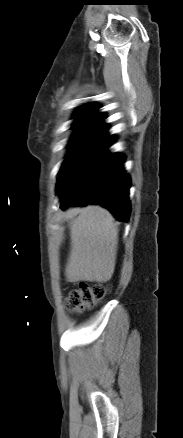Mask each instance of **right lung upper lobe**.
<instances>
[{
    "label": "right lung upper lobe",
    "instance_id": "1",
    "mask_svg": "<svg viewBox=\"0 0 183 438\" xmlns=\"http://www.w3.org/2000/svg\"><path fill=\"white\" fill-rule=\"evenodd\" d=\"M99 106L95 103L84 104L78 108L74 117L77 118L73 123V127L79 130L90 129L99 131L107 124L103 123L105 116L102 113H97Z\"/></svg>",
    "mask_w": 183,
    "mask_h": 438
}]
</instances>
